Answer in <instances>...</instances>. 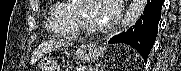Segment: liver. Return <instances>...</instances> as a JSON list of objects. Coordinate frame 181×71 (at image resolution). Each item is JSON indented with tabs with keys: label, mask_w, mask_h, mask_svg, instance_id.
Listing matches in <instances>:
<instances>
[{
	"label": "liver",
	"mask_w": 181,
	"mask_h": 71,
	"mask_svg": "<svg viewBox=\"0 0 181 71\" xmlns=\"http://www.w3.org/2000/svg\"><path fill=\"white\" fill-rule=\"evenodd\" d=\"M70 45V42L63 41V40H50L47 42L42 43L37 50L33 53L31 58V64H35L45 53L50 52L56 48L61 46Z\"/></svg>",
	"instance_id": "obj_1"
}]
</instances>
